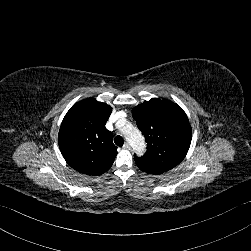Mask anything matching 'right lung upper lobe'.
I'll use <instances>...</instances> for the list:
<instances>
[{
    "label": "right lung upper lobe",
    "instance_id": "1",
    "mask_svg": "<svg viewBox=\"0 0 251 251\" xmlns=\"http://www.w3.org/2000/svg\"><path fill=\"white\" fill-rule=\"evenodd\" d=\"M111 106L86 98L74 104L59 130V148L67 164L79 173L101 175L117 155L113 135L105 128Z\"/></svg>",
    "mask_w": 251,
    "mask_h": 251
}]
</instances>
